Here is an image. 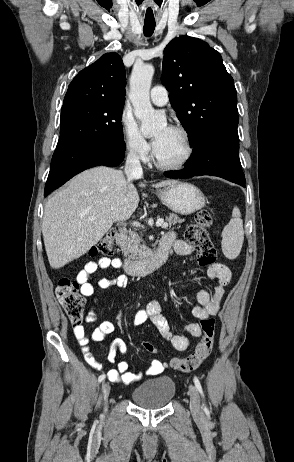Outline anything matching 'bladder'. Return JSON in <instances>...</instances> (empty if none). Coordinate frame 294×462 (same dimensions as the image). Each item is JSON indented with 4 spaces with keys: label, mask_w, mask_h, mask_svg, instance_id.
Masks as SVG:
<instances>
[{
    "label": "bladder",
    "mask_w": 294,
    "mask_h": 462,
    "mask_svg": "<svg viewBox=\"0 0 294 462\" xmlns=\"http://www.w3.org/2000/svg\"><path fill=\"white\" fill-rule=\"evenodd\" d=\"M176 394V384L170 376L145 380L131 393V400L140 407L156 409L166 406Z\"/></svg>",
    "instance_id": "1"
}]
</instances>
